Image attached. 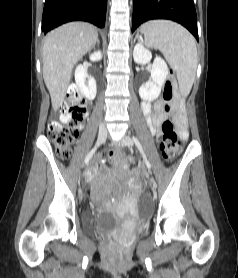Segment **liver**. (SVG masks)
<instances>
[{
  "instance_id": "obj_1",
  "label": "liver",
  "mask_w": 238,
  "mask_h": 278,
  "mask_svg": "<svg viewBox=\"0 0 238 278\" xmlns=\"http://www.w3.org/2000/svg\"><path fill=\"white\" fill-rule=\"evenodd\" d=\"M97 39V29L84 22L67 23L47 34L42 51L43 78L54 110L62 105L74 66Z\"/></svg>"
}]
</instances>
